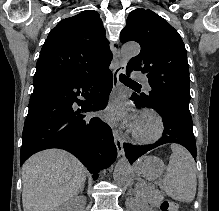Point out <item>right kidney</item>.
Segmentation results:
<instances>
[{
	"label": "right kidney",
	"instance_id": "obj_1",
	"mask_svg": "<svg viewBox=\"0 0 219 211\" xmlns=\"http://www.w3.org/2000/svg\"><path fill=\"white\" fill-rule=\"evenodd\" d=\"M70 205H72L73 211H76V207H79V203H77V201H68V203H65V205H62L61 209H58V211H67Z\"/></svg>",
	"mask_w": 219,
	"mask_h": 211
}]
</instances>
